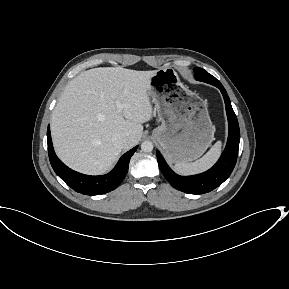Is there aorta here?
I'll use <instances>...</instances> for the list:
<instances>
[{"mask_svg": "<svg viewBox=\"0 0 289 289\" xmlns=\"http://www.w3.org/2000/svg\"><path fill=\"white\" fill-rule=\"evenodd\" d=\"M141 150L144 152H151L153 150V143L148 140L142 142Z\"/></svg>", "mask_w": 289, "mask_h": 289, "instance_id": "1", "label": "aorta"}]
</instances>
